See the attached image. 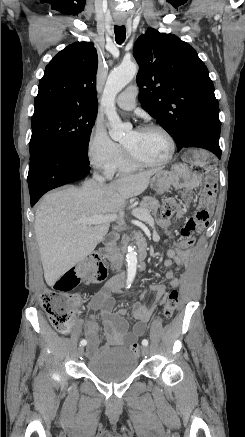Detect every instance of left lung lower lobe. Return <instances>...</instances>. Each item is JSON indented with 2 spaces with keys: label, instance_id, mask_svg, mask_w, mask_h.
Segmentation results:
<instances>
[{
  "label": "left lung lower lobe",
  "instance_id": "1",
  "mask_svg": "<svg viewBox=\"0 0 245 437\" xmlns=\"http://www.w3.org/2000/svg\"><path fill=\"white\" fill-rule=\"evenodd\" d=\"M183 147H199L213 152L219 159L221 157V149L219 146V136L211 132H198L190 136Z\"/></svg>",
  "mask_w": 245,
  "mask_h": 437
}]
</instances>
